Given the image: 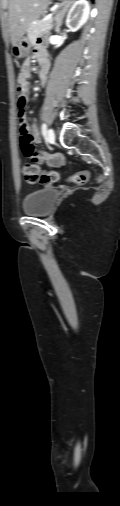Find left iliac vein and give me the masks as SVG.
Returning <instances> with one entry per match:
<instances>
[{"label": "left iliac vein", "mask_w": 120, "mask_h": 506, "mask_svg": "<svg viewBox=\"0 0 120 506\" xmlns=\"http://www.w3.org/2000/svg\"><path fill=\"white\" fill-rule=\"evenodd\" d=\"M47 138L50 142H53L55 140V132L53 129H49L47 133Z\"/></svg>", "instance_id": "4c4485c4"}]
</instances>
